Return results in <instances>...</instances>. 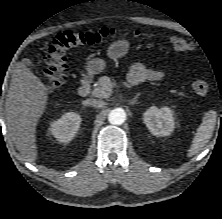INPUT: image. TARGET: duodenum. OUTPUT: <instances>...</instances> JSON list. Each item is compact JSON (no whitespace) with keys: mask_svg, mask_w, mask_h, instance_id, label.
Listing matches in <instances>:
<instances>
[{"mask_svg":"<svg viewBox=\"0 0 222 219\" xmlns=\"http://www.w3.org/2000/svg\"><path fill=\"white\" fill-rule=\"evenodd\" d=\"M91 81L92 80L89 76H84L81 78L79 86L77 88V93L79 96L85 97L90 93Z\"/></svg>","mask_w":222,"mask_h":219,"instance_id":"obj_1","label":"duodenum"}]
</instances>
